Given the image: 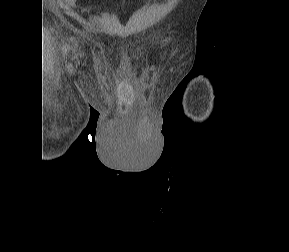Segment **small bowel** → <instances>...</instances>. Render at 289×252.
<instances>
[{"mask_svg":"<svg viewBox=\"0 0 289 252\" xmlns=\"http://www.w3.org/2000/svg\"><path fill=\"white\" fill-rule=\"evenodd\" d=\"M67 5L70 7H74L77 0H65Z\"/></svg>","mask_w":289,"mask_h":252,"instance_id":"c3829d8e","label":"small bowel"}]
</instances>
